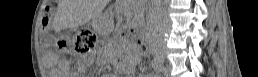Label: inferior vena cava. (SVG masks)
Segmentation results:
<instances>
[{
  "label": "inferior vena cava",
  "instance_id": "1",
  "mask_svg": "<svg viewBox=\"0 0 258 77\" xmlns=\"http://www.w3.org/2000/svg\"><path fill=\"white\" fill-rule=\"evenodd\" d=\"M154 2V5L150 9L149 12V24L152 25L153 22L157 20H161L163 17L161 5H160V0H152Z\"/></svg>",
  "mask_w": 258,
  "mask_h": 77
}]
</instances>
